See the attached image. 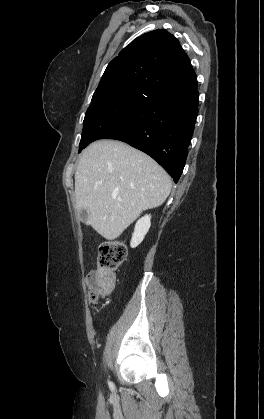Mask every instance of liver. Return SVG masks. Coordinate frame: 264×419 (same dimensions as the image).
Segmentation results:
<instances>
[{"label": "liver", "instance_id": "6515ba94", "mask_svg": "<svg viewBox=\"0 0 264 419\" xmlns=\"http://www.w3.org/2000/svg\"><path fill=\"white\" fill-rule=\"evenodd\" d=\"M166 171L145 153L116 140H99L82 153L75 173L76 208L107 240L118 238L171 191Z\"/></svg>", "mask_w": 264, "mask_h": 419}]
</instances>
